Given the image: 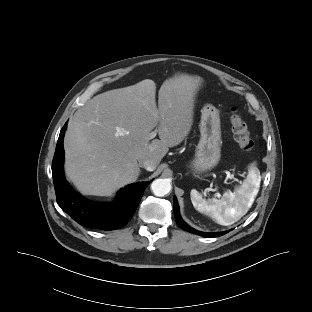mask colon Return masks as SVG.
<instances>
[{"label":"colon","mask_w":312,"mask_h":312,"mask_svg":"<svg viewBox=\"0 0 312 312\" xmlns=\"http://www.w3.org/2000/svg\"><path fill=\"white\" fill-rule=\"evenodd\" d=\"M230 123L233 136L237 145L243 151H251L254 147V141L252 139L246 122L244 121L242 115L237 110V108H233L231 111Z\"/></svg>","instance_id":"1"}]
</instances>
